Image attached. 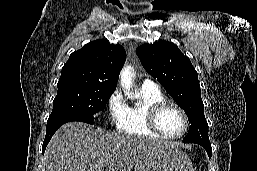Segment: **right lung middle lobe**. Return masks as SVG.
Returning <instances> with one entry per match:
<instances>
[{
	"label": "right lung middle lobe",
	"mask_w": 257,
	"mask_h": 171,
	"mask_svg": "<svg viewBox=\"0 0 257 171\" xmlns=\"http://www.w3.org/2000/svg\"><path fill=\"white\" fill-rule=\"evenodd\" d=\"M114 90L79 84L58 87L48 121L65 117L93 120V115L105 107Z\"/></svg>",
	"instance_id": "1"
}]
</instances>
